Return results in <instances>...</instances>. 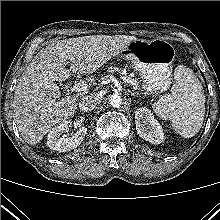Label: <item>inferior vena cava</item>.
Listing matches in <instances>:
<instances>
[{"instance_id":"inferior-vena-cava-1","label":"inferior vena cava","mask_w":220,"mask_h":220,"mask_svg":"<svg viewBox=\"0 0 220 220\" xmlns=\"http://www.w3.org/2000/svg\"><path fill=\"white\" fill-rule=\"evenodd\" d=\"M100 100V96L98 94H91L83 97L79 102L80 110L84 112H89L95 109L97 103Z\"/></svg>"}]
</instances>
